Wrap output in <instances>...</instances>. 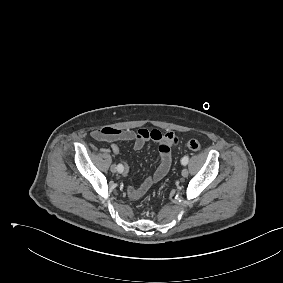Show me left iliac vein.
Returning <instances> with one entry per match:
<instances>
[{"label":"left iliac vein","mask_w":283,"mask_h":283,"mask_svg":"<svg viewBox=\"0 0 283 283\" xmlns=\"http://www.w3.org/2000/svg\"><path fill=\"white\" fill-rule=\"evenodd\" d=\"M188 174H189V172H188L187 169H183L182 172H181V175H182L183 177H187Z\"/></svg>","instance_id":"4c4485c4"}]
</instances>
